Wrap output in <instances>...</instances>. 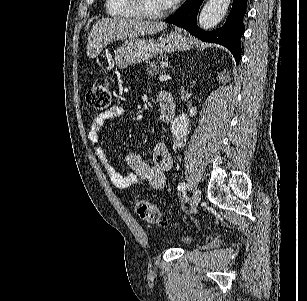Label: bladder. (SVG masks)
Listing matches in <instances>:
<instances>
[{
  "instance_id": "31cf9c89",
  "label": "bladder",
  "mask_w": 307,
  "mask_h": 301,
  "mask_svg": "<svg viewBox=\"0 0 307 301\" xmlns=\"http://www.w3.org/2000/svg\"><path fill=\"white\" fill-rule=\"evenodd\" d=\"M183 243H184L185 245H191V244L194 243V238H192V237H186V238L183 240Z\"/></svg>"
}]
</instances>
